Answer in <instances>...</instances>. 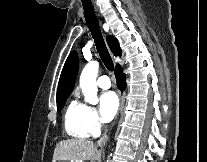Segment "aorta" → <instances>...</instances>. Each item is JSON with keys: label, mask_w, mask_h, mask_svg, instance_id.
Segmentation results:
<instances>
[{"label": "aorta", "mask_w": 207, "mask_h": 162, "mask_svg": "<svg viewBox=\"0 0 207 162\" xmlns=\"http://www.w3.org/2000/svg\"><path fill=\"white\" fill-rule=\"evenodd\" d=\"M98 69L99 63L97 61H91L84 67L80 76V87L84 94V99L93 105L98 102L96 85Z\"/></svg>", "instance_id": "762f6f07"}]
</instances>
